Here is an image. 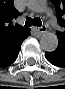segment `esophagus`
Wrapping results in <instances>:
<instances>
[{
	"mask_svg": "<svg viewBox=\"0 0 65 89\" xmlns=\"http://www.w3.org/2000/svg\"><path fill=\"white\" fill-rule=\"evenodd\" d=\"M33 29L36 30L39 34H43L47 31L46 26L34 27Z\"/></svg>",
	"mask_w": 65,
	"mask_h": 89,
	"instance_id": "1",
	"label": "esophagus"
}]
</instances>
